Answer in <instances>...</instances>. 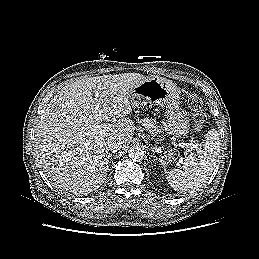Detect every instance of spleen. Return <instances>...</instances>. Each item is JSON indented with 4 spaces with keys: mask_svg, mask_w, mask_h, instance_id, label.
Instances as JSON below:
<instances>
[{
    "mask_svg": "<svg viewBox=\"0 0 259 259\" xmlns=\"http://www.w3.org/2000/svg\"><path fill=\"white\" fill-rule=\"evenodd\" d=\"M203 150L190 154L184 162L183 170L173 169L168 172L170 186L179 193H193L209 180L219 156L220 134L211 129L206 134Z\"/></svg>",
    "mask_w": 259,
    "mask_h": 259,
    "instance_id": "3e777b00",
    "label": "spleen"
}]
</instances>
